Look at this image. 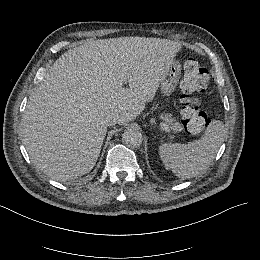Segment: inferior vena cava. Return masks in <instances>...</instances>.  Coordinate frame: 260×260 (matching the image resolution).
I'll return each instance as SVG.
<instances>
[{
    "mask_svg": "<svg viewBox=\"0 0 260 260\" xmlns=\"http://www.w3.org/2000/svg\"><path fill=\"white\" fill-rule=\"evenodd\" d=\"M117 121H118V118H117L116 114H109L106 117L107 126H113L117 123Z\"/></svg>",
    "mask_w": 260,
    "mask_h": 260,
    "instance_id": "inferior-vena-cava-1",
    "label": "inferior vena cava"
}]
</instances>
